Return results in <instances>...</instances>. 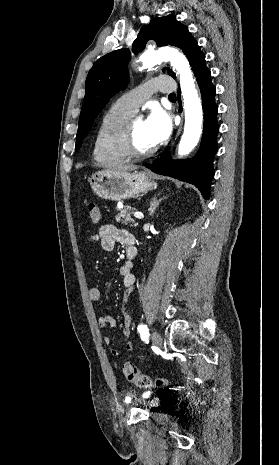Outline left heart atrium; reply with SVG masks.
Returning <instances> with one entry per match:
<instances>
[{
    "mask_svg": "<svg viewBox=\"0 0 279 465\" xmlns=\"http://www.w3.org/2000/svg\"><path fill=\"white\" fill-rule=\"evenodd\" d=\"M145 126L154 145L165 141L172 130L170 116L159 107L152 108Z\"/></svg>",
    "mask_w": 279,
    "mask_h": 465,
    "instance_id": "obj_1",
    "label": "left heart atrium"
}]
</instances>
